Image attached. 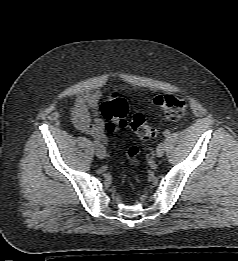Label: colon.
Wrapping results in <instances>:
<instances>
[{"mask_svg":"<svg viewBox=\"0 0 238 261\" xmlns=\"http://www.w3.org/2000/svg\"><path fill=\"white\" fill-rule=\"evenodd\" d=\"M153 103L168 118L178 120L183 117L187 109V104L182 98L170 94L158 95L153 99ZM101 112L107 120L105 130L108 133H115L127 127L125 117L128 112V105L124 98L117 94L110 95L101 105ZM133 132L141 139H150L156 135V130L151 127L142 113H135L129 123ZM126 155L133 167L139 166L137 158L138 148L128 146Z\"/></svg>","mask_w":238,"mask_h":261,"instance_id":"5ec220e1","label":"colon"}]
</instances>
